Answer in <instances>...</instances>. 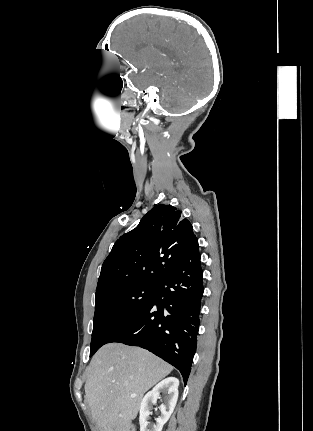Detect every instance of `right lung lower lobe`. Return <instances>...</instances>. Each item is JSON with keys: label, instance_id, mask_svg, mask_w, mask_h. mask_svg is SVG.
I'll return each instance as SVG.
<instances>
[{"label": "right lung lower lobe", "instance_id": "1", "mask_svg": "<svg viewBox=\"0 0 313 431\" xmlns=\"http://www.w3.org/2000/svg\"><path fill=\"white\" fill-rule=\"evenodd\" d=\"M198 247L196 238L149 300L106 342H120L151 351L176 367L185 384L196 350L203 295Z\"/></svg>", "mask_w": 313, "mask_h": 431}]
</instances>
